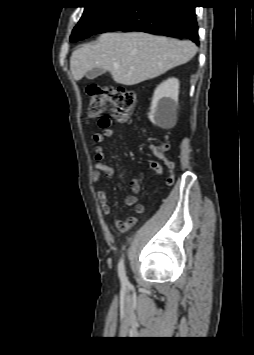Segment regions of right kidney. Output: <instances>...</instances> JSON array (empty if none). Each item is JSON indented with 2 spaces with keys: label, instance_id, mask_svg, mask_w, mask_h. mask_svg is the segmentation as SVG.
I'll list each match as a JSON object with an SVG mask.
<instances>
[{
  "label": "right kidney",
  "instance_id": "obj_1",
  "mask_svg": "<svg viewBox=\"0 0 254 355\" xmlns=\"http://www.w3.org/2000/svg\"><path fill=\"white\" fill-rule=\"evenodd\" d=\"M179 80L169 78L161 83L153 94L150 121L158 126H170L175 122L178 107Z\"/></svg>",
  "mask_w": 254,
  "mask_h": 355
}]
</instances>
